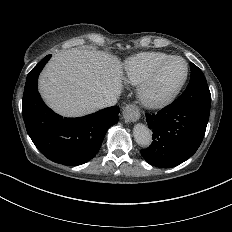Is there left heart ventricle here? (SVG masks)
Segmentation results:
<instances>
[{
  "mask_svg": "<svg viewBox=\"0 0 232 232\" xmlns=\"http://www.w3.org/2000/svg\"><path fill=\"white\" fill-rule=\"evenodd\" d=\"M186 65L183 61H174L169 64L154 80L146 91L150 100H158L173 90L183 79Z\"/></svg>",
  "mask_w": 232,
  "mask_h": 232,
  "instance_id": "b2bd125f",
  "label": "left heart ventricle"
}]
</instances>
